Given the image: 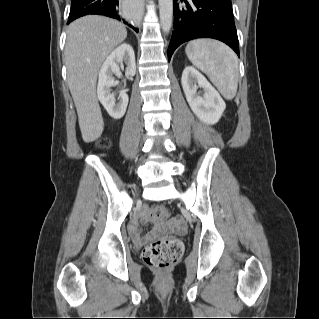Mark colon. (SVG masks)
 <instances>
[{"mask_svg": "<svg viewBox=\"0 0 319 319\" xmlns=\"http://www.w3.org/2000/svg\"><path fill=\"white\" fill-rule=\"evenodd\" d=\"M100 145L107 147L109 141L103 140ZM150 217L164 221L172 217V212L165 205H156L150 210ZM183 251L184 245L180 239L167 237L146 245L142 252V258L147 266L158 271H165L181 258Z\"/></svg>", "mask_w": 319, "mask_h": 319, "instance_id": "1", "label": "colon"}]
</instances>
